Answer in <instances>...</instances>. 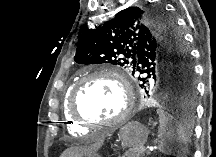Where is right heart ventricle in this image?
<instances>
[{"label":"right heart ventricle","mask_w":216,"mask_h":157,"mask_svg":"<svg viewBox=\"0 0 216 157\" xmlns=\"http://www.w3.org/2000/svg\"><path fill=\"white\" fill-rule=\"evenodd\" d=\"M72 86L67 89L64 95V100H63V115H64V121L66 124V128L69 133L76 135V136H84L89 133L87 128L80 123L76 122L70 115L69 110H68V103H69V98L71 94Z\"/></svg>","instance_id":"right-heart-ventricle-1"}]
</instances>
